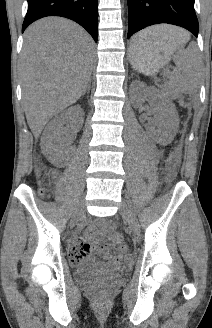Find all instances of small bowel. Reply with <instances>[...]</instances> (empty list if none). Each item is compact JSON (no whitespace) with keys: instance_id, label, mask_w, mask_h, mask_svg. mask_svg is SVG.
<instances>
[{"instance_id":"small-bowel-1","label":"small bowel","mask_w":212,"mask_h":328,"mask_svg":"<svg viewBox=\"0 0 212 328\" xmlns=\"http://www.w3.org/2000/svg\"><path fill=\"white\" fill-rule=\"evenodd\" d=\"M102 231H107L109 225L100 223ZM97 227L90 225L86 228L84 237L75 238L69 246L70 257H74L77 262L83 260L92 251L101 252L106 262L98 264L101 269H120L122 265L121 253L115 252L109 245L96 241Z\"/></svg>"}]
</instances>
